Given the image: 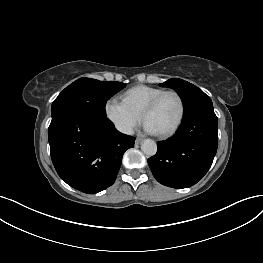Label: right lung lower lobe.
Returning a JSON list of instances; mask_svg holds the SVG:
<instances>
[{
    "mask_svg": "<svg viewBox=\"0 0 263 263\" xmlns=\"http://www.w3.org/2000/svg\"><path fill=\"white\" fill-rule=\"evenodd\" d=\"M51 159L58 175L88 194L111 186L124 152L135 138L118 132L111 121L82 111H67L52 119L48 129Z\"/></svg>",
    "mask_w": 263,
    "mask_h": 263,
    "instance_id": "right-lung-lower-lobe-1",
    "label": "right lung lower lobe"
}]
</instances>
